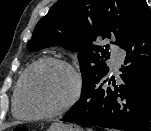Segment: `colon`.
<instances>
[{"mask_svg": "<svg viewBox=\"0 0 151 131\" xmlns=\"http://www.w3.org/2000/svg\"><path fill=\"white\" fill-rule=\"evenodd\" d=\"M13 131H32V130L26 126H17L13 129Z\"/></svg>", "mask_w": 151, "mask_h": 131, "instance_id": "colon-1", "label": "colon"}]
</instances>
